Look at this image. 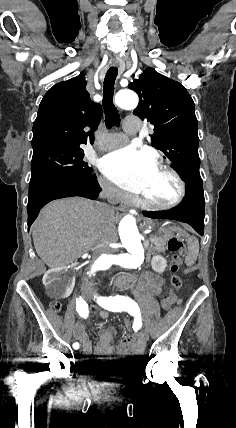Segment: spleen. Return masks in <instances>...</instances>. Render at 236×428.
<instances>
[{
    "label": "spleen",
    "mask_w": 236,
    "mask_h": 428,
    "mask_svg": "<svg viewBox=\"0 0 236 428\" xmlns=\"http://www.w3.org/2000/svg\"><path fill=\"white\" fill-rule=\"evenodd\" d=\"M181 234L187 238L188 256L185 258V264L186 266H193L199 254V242L194 236H189V234H184V232H181Z\"/></svg>",
    "instance_id": "3e777b00"
}]
</instances>
